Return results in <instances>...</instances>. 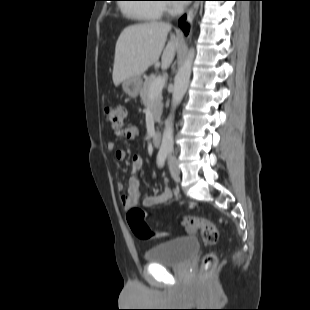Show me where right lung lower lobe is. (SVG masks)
<instances>
[{"mask_svg": "<svg viewBox=\"0 0 310 310\" xmlns=\"http://www.w3.org/2000/svg\"><path fill=\"white\" fill-rule=\"evenodd\" d=\"M186 16H183L180 20H179V25L182 28V30L184 31V33L187 35L188 31H189V27L187 26L186 28H183L182 25L184 24Z\"/></svg>", "mask_w": 310, "mask_h": 310, "instance_id": "obj_1", "label": "right lung lower lobe"}]
</instances>
